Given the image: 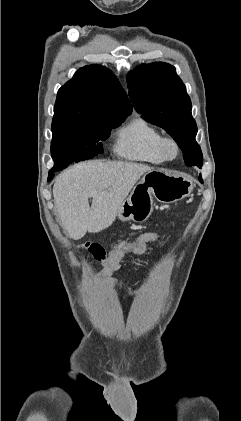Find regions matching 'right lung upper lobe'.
Listing matches in <instances>:
<instances>
[{
	"instance_id": "1",
	"label": "right lung upper lobe",
	"mask_w": 241,
	"mask_h": 421,
	"mask_svg": "<svg viewBox=\"0 0 241 421\" xmlns=\"http://www.w3.org/2000/svg\"><path fill=\"white\" fill-rule=\"evenodd\" d=\"M132 111L126 92L105 67L80 68L57 94L54 118L89 121L100 117L126 118Z\"/></svg>"
}]
</instances>
